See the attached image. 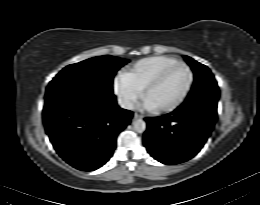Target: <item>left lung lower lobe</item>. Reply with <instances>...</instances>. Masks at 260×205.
Masks as SVG:
<instances>
[{
  "label": "left lung lower lobe",
  "mask_w": 260,
  "mask_h": 205,
  "mask_svg": "<svg viewBox=\"0 0 260 205\" xmlns=\"http://www.w3.org/2000/svg\"><path fill=\"white\" fill-rule=\"evenodd\" d=\"M217 113L203 107L177 108L155 118H146L143 142L150 155L173 165L194 157L209 137Z\"/></svg>",
  "instance_id": "1"
}]
</instances>
